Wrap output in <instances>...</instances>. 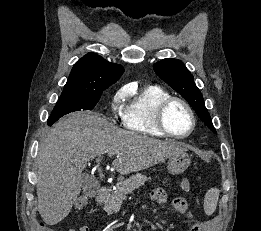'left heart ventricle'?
Returning a JSON list of instances; mask_svg holds the SVG:
<instances>
[{
    "mask_svg": "<svg viewBox=\"0 0 261 231\" xmlns=\"http://www.w3.org/2000/svg\"><path fill=\"white\" fill-rule=\"evenodd\" d=\"M165 121L168 129L175 134H185L191 127L188 111L178 102L173 103L167 109Z\"/></svg>",
    "mask_w": 261,
    "mask_h": 231,
    "instance_id": "obj_1",
    "label": "left heart ventricle"
}]
</instances>
